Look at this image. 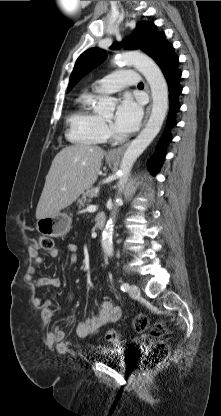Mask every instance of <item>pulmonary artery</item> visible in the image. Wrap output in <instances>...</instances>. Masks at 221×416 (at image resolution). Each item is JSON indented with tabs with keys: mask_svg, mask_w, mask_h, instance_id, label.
Listing matches in <instances>:
<instances>
[{
	"mask_svg": "<svg viewBox=\"0 0 221 416\" xmlns=\"http://www.w3.org/2000/svg\"><path fill=\"white\" fill-rule=\"evenodd\" d=\"M139 81V74L135 70L119 69L98 81L94 91L99 94L115 93L125 86L138 85Z\"/></svg>",
	"mask_w": 221,
	"mask_h": 416,
	"instance_id": "1",
	"label": "pulmonary artery"
}]
</instances>
